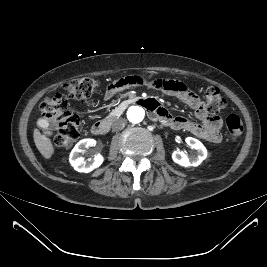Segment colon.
<instances>
[{
	"label": "colon",
	"instance_id": "colon-1",
	"mask_svg": "<svg viewBox=\"0 0 267 267\" xmlns=\"http://www.w3.org/2000/svg\"><path fill=\"white\" fill-rule=\"evenodd\" d=\"M99 88V82L94 78L74 79L64 84L40 104V114L44 121L57 126L58 132L54 144L58 148H70L80 137L81 124L79 117L70 110V100H87ZM206 108L210 113H218L226 106V100L215 87L205 91ZM226 126L231 140H237L243 131L241 118L231 114L226 118Z\"/></svg>",
	"mask_w": 267,
	"mask_h": 267
}]
</instances>
